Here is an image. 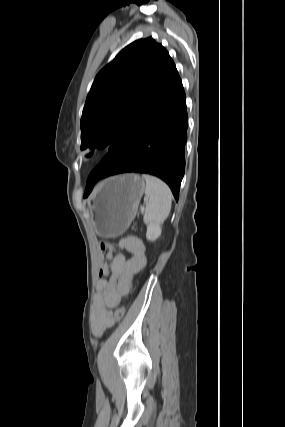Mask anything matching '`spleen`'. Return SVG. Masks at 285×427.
I'll list each match as a JSON object with an SVG mask.
<instances>
[{
  "mask_svg": "<svg viewBox=\"0 0 285 427\" xmlns=\"http://www.w3.org/2000/svg\"><path fill=\"white\" fill-rule=\"evenodd\" d=\"M142 177L146 181V211L143 220L146 224L161 223L171 210V190L167 184L154 176L144 174Z\"/></svg>",
  "mask_w": 285,
  "mask_h": 427,
  "instance_id": "obj_1",
  "label": "spleen"
}]
</instances>
